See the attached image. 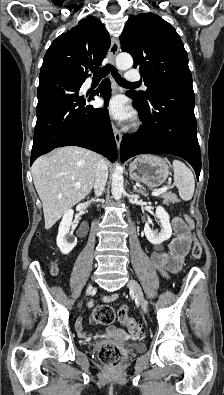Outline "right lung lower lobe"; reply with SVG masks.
<instances>
[{
    "mask_svg": "<svg viewBox=\"0 0 224 395\" xmlns=\"http://www.w3.org/2000/svg\"><path fill=\"white\" fill-rule=\"evenodd\" d=\"M84 81L76 82L54 69L40 72L30 165L40 155L67 145L93 150L111 162L117 159L108 111L105 107L95 109L86 105L94 97L80 95L79 89ZM110 92L109 80H105L94 95L108 101Z\"/></svg>",
    "mask_w": 224,
    "mask_h": 395,
    "instance_id": "obj_1",
    "label": "right lung lower lobe"
}]
</instances>
